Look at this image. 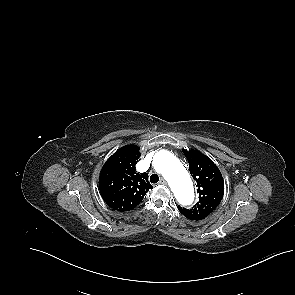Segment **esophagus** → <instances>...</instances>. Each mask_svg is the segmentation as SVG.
<instances>
[{"label":"esophagus","instance_id":"34e87169","mask_svg":"<svg viewBox=\"0 0 295 295\" xmlns=\"http://www.w3.org/2000/svg\"><path fill=\"white\" fill-rule=\"evenodd\" d=\"M159 183H160V184H162V185H166V184H167L166 180H165V179H163V178H162V179H160Z\"/></svg>","mask_w":295,"mask_h":295}]
</instances>
